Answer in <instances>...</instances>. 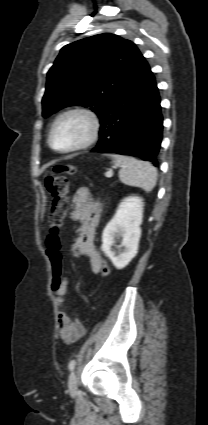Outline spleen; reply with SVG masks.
<instances>
[{"label":"spleen","mask_w":208,"mask_h":425,"mask_svg":"<svg viewBox=\"0 0 208 425\" xmlns=\"http://www.w3.org/2000/svg\"><path fill=\"white\" fill-rule=\"evenodd\" d=\"M112 157L122 167L119 171V179L122 183L140 187L146 192L153 190L157 181V170L151 163L117 154Z\"/></svg>","instance_id":"spleen-1"}]
</instances>
